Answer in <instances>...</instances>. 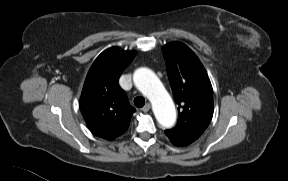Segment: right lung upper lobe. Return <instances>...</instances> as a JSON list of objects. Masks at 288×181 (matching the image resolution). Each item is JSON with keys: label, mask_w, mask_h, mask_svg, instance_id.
Returning a JSON list of instances; mask_svg holds the SVG:
<instances>
[{"label": "right lung upper lobe", "mask_w": 288, "mask_h": 181, "mask_svg": "<svg viewBox=\"0 0 288 181\" xmlns=\"http://www.w3.org/2000/svg\"><path fill=\"white\" fill-rule=\"evenodd\" d=\"M135 55L136 51L109 48L96 58L87 74L80 109L88 128L98 137L113 140L128 129L135 109L118 80Z\"/></svg>", "instance_id": "obj_1"}]
</instances>
